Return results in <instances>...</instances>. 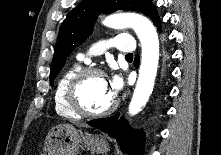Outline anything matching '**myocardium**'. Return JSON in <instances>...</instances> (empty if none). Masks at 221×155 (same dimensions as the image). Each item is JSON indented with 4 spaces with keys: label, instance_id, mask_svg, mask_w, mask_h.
<instances>
[{
    "label": "myocardium",
    "instance_id": "f54148a6",
    "mask_svg": "<svg viewBox=\"0 0 221 155\" xmlns=\"http://www.w3.org/2000/svg\"><path fill=\"white\" fill-rule=\"evenodd\" d=\"M93 75H101L106 77V73L97 67H86L80 69L69 81L66 92H65V99L70 107L75 113L80 116L89 117V118H99L104 117L111 114L118 105L117 97L114 96L113 101L111 104L102 111L99 112H92L87 110L80 102L78 93L80 86L82 83L90 76Z\"/></svg>",
    "mask_w": 221,
    "mask_h": 155
}]
</instances>
